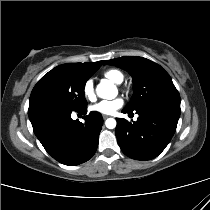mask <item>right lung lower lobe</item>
Listing matches in <instances>:
<instances>
[{
	"instance_id": "1",
	"label": "right lung lower lobe",
	"mask_w": 210,
	"mask_h": 210,
	"mask_svg": "<svg viewBox=\"0 0 210 210\" xmlns=\"http://www.w3.org/2000/svg\"><path fill=\"white\" fill-rule=\"evenodd\" d=\"M86 114L87 107L76 110ZM72 110L53 109L30 118L33 131L45 150L58 162L75 166L95 154L103 125L100 113L93 111L85 123L71 119Z\"/></svg>"
}]
</instances>
